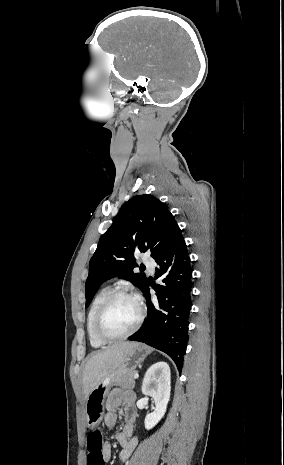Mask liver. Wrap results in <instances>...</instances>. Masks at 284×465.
<instances>
[{
	"mask_svg": "<svg viewBox=\"0 0 284 465\" xmlns=\"http://www.w3.org/2000/svg\"><path fill=\"white\" fill-rule=\"evenodd\" d=\"M136 345L137 343H117V345H111V347H107L103 351L92 353L90 359L85 363L82 375L84 399H87L89 393L96 387L102 377L109 375L111 371H115L120 367L124 357Z\"/></svg>",
	"mask_w": 284,
	"mask_h": 465,
	"instance_id": "liver-1",
	"label": "liver"
}]
</instances>
